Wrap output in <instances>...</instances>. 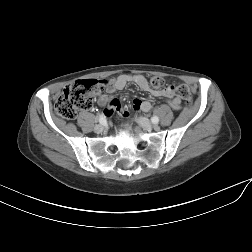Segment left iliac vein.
I'll return each mask as SVG.
<instances>
[{
	"instance_id": "4c4485c4",
	"label": "left iliac vein",
	"mask_w": 252,
	"mask_h": 252,
	"mask_svg": "<svg viewBox=\"0 0 252 252\" xmlns=\"http://www.w3.org/2000/svg\"><path fill=\"white\" fill-rule=\"evenodd\" d=\"M137 122H138V124H139L143 129L148 130V131L152 130V128L155 127V126H153L152 123H151L148 119H146L145 117H138Z\"/></svg>"
}]
</instances>
